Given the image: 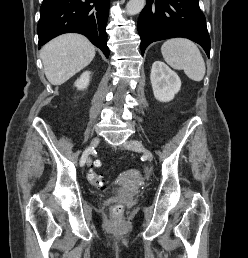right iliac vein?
<instances>
[{
    "label": "right iliac vein",
    "mask_w": 248,
    "mask_h": 258,
    "mask_svg": "<svg viewBox=\"0 0 248 258\" xmlns=\"http://www.w3.org/2000/svg\"><path fill=\"white\" fill-rule=\"evenodd\" d=\"M100 142V138L99 137H94L91 141V146L92 148L96 147ZM87 166H90L91 165V158H88L87 159V162H86Z\"/></svg>",
    "instance_id": "63e3f726"
}]
</instances>
